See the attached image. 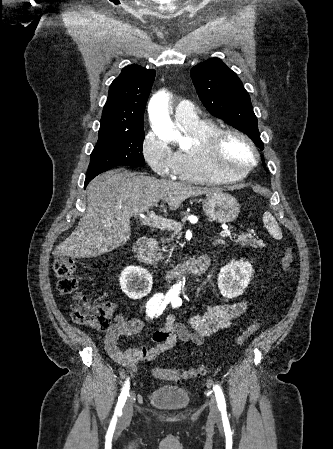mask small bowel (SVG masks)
<instances>
[{
  "instance_id": "1",
  "label": "small bowel",
  "mask_w": 333,
  "mask_h": 449,
  "mask_svg": "<svg viewBox=\"0 0 333 449\" xmlns=\"http://www.w3.org/2000/svg\"><path fill=\"white\" fill-rule=\"evenodd\" d=\"M246 311L245 301L212 305L201 314L193 316L188 325L178 322L174 316L169 315L165 325L153 332L152 346H133L125 350L120 348L119 339L141 333L144 322L138 317L118 314L115 323L102 334L101 341L114 362L124 368L135 370L138 364L153 362L158 355L173 349L178 341L201 344L206 336L220 329L232 327L235 320Z\"/></svg>"
}]
</instances>
